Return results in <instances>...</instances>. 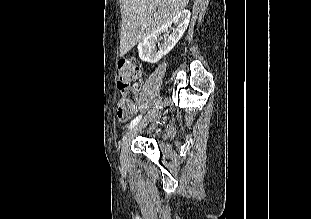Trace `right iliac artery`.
Masks as SVG:
<instances>
[{
  "label": "right iliac artery",
  "instance_id": "obj_1",
  "mask_svg": "<svg viewBox=\"0 0 311 219\" xmlns=\"http://www.w3.org/2000/svg\"><path fill=\"white\" fill-rule=\"evenodd\" d=\"M141 118H142V115H139V116H137L136 118H134V119L132 120V122L130 123V125L128 126V128L131 129V128H133L134 126H136V125L139 123V121L141 120Z\"/></svg>",
  "mask_w": 311,
  "mask_h": 219
}]
</instances>
